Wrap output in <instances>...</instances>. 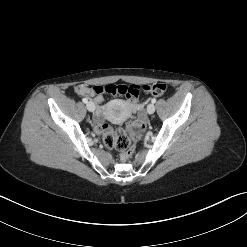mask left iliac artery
Instances as JSON below:
<instances>
[{
  "label": "left iliac artery",
  "instance_id": "obj_1",
  "mask_svg": "<svg viewBox=\"0 0 247 247\" xmlns=\"http://www.w3.org/2000/svg\"><path fill=\"white\" fill-rule=\"evenodd\" d=\"M151 102H152V103H155V102H156V99H155V98H153V99L151 100Z\"/></svg>",
  "mask_w": 247,
  "mask_h": 247
}]
</instances>
